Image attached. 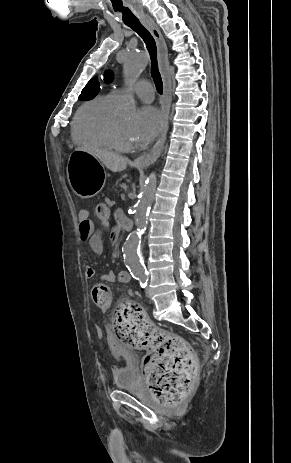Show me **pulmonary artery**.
Masks as SVG:
<instances>
[{"label":"pulmonary artery","instance_id":"1","mask_svg":"<svg viewBox=\"0 0 291 463\" xmlns=\"http://www.w3.org/2000/svg\"><path fill=\"white\" fill-rule=\"evenodd\" d=\"M129 92L147 103L152 102L154 98V89L147 80H140L129 89ZM111 93L113 97L119 101L123 97L125 91L123 89H113Z\"/></svg>","mask_w":291,"mask_h":463}]
</instances>
